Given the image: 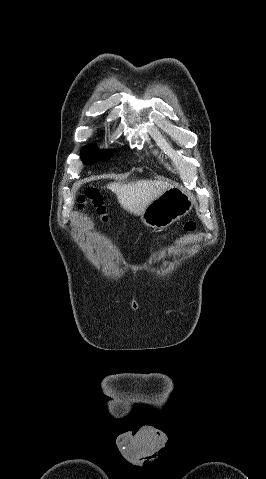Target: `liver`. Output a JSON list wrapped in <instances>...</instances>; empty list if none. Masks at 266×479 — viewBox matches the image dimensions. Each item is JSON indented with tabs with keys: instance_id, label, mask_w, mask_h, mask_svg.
<instances>
[{
	"instance_id": "6515ba94",
	"label": "liver",
	"mask_w": 266,
	"mask_h": 479,
	"mask_svg": "<svg viewBox=\"0 0 266 479\" xmlns=\"http://www.w3.org/2000/svg\"><path fill=\"white\" fill-rule=\"evenodd\" d=\"M107 187L117 195L118 202L125 210L141 215L154 199L172 185L162 180L142 179L128 183H110Z\"/></svg>"
}]
</instances>
